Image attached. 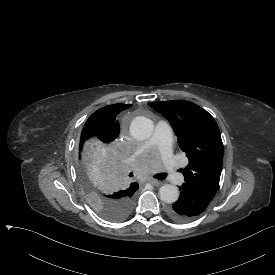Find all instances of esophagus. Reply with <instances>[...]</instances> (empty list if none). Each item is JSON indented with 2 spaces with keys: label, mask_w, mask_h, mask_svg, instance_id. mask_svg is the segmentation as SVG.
<instances>
[{
  "label": "esophagus",
  "mask_w": 275,
  "mask_h": 275,
  "mask_svg": "<svg viewBox=\"0 0 275 275\" xmlns=\"http://www.w3.org/2000/svg\"><path fill=\"white\" fill-rule=\"evenodd\" d=\"M152 186H159L161 184L160 181L156 180V179H150L148 181Z\"/></svg>",
  "instance_id": "obj_1"
}]
</instances>
